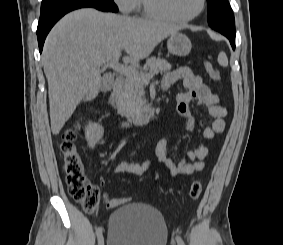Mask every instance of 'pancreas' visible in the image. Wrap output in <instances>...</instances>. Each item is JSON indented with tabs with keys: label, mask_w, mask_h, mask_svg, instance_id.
Segmentation results:
<instances>
[{
	"label": "pancreas",
	"mask_w": 283,
	"mask_h": 245,
	"mask_svg": "<svg viewBox=\"0 0 283 245\" xmlns=\"http://www.w3.org/2000/svg\"><path fill=\"white\" fill-rule=\"evenodd\" d=\"M171 69L165 59L151 57L146 61L141 75H150L165 73ZM147 71H149L147 73ZM144 84L139 78H127L124 84V90L121 93L118 104L119 113L125 116L128 120L134 119L139 113L149 108L145 99Z\"/></svg>",
	"instance_id": "cf45deb5"
}]
</instances>
